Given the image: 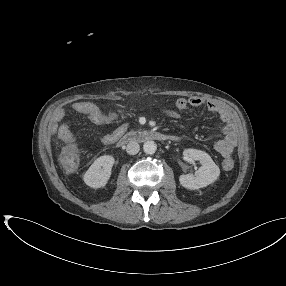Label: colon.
<instances>
[{
	"instance_id": "5ec220e1",
	"label": "colon",
	"mask_w": 286,
	"mask_h": 286,
	"mask_svg": "<svg viewBox=\"0 0 286 286\" xmlns=\"http://www.w3.org/2000/svg\"><path fill=\"white\" fill-rule=\"evenodd\" d=\"M64 141V145L62 147L60 160L62 165L69 170H72L77 167L79 162V152L73 141L68 137L61 138ZM234 165L232 159H227L224 161L225 169H231Z\"/></svg>"
}]
</instances>
